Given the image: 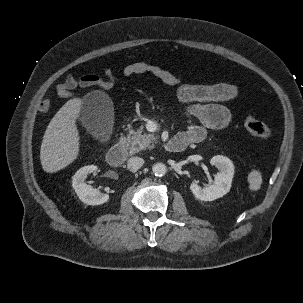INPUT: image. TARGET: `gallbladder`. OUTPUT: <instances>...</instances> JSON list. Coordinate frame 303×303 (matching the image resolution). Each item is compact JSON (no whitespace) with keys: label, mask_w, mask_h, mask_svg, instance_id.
<instances>
[{"label":"gallbladder","mask_w":303,"mask_h":303,"mask_svg":"<svg viewBox=\"0 0 303 303\" xmlns=\"http://www.w3.org/2000/svg\"><path fill=\"white\" fill-rule=\"evenodd\" d=\"M113 103L103 91L86 94L81 105V121L86 130L97 139H103L113 120Z\"/></svg>","instance_id":"1"}]
</instances>
